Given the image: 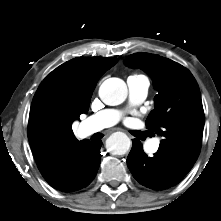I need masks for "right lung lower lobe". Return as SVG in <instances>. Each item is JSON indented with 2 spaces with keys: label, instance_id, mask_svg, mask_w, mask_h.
Masks as SVG:
<instances>
[{
  "label": "right lung lower lobe",
  "instance_id": "obj_1",
  "mask_svg": "<svg viewBox=\"0 0 221 221\" xmlns=\"http://www.w3.org/2000/svg\"><path fill=\"white\" fill-rule=\"evenodd\" d=\"M102 141L89 140L78 146L57 170L44 174L53 188L73 192L88 186L98 171Z\"/></svg>",
  "mask_w": 221,
  "mask_h": 221
}]
</instances>
